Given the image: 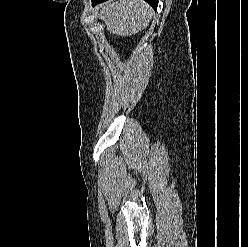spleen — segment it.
<instances>
[{"instance_id":"obj_1","label":"spleen","mask_w":248,"mask_h":247,"mask_svg":"<svg viewBox=\"0 0 248 247\" xmlns=\"http://www.w3.org/2000/svg\"><path fill=\"white\" fill-rule=\"evenodd\" d=\"M152 10L143 0H118L102 7L101 19L112 34L128 36L145 29Z\"/></svg>"}]
</instances>
